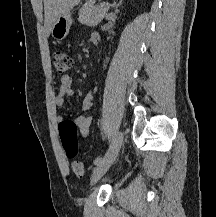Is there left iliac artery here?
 <instances>
[{
    "mask_svg": "<svg viewBox=\"0 0 216 217\" xmlns=\"http://www.w3.org/2000/svg\"><path fill=\"white\" fill-rule=\"evenodd\" d=\"M104 157H97L94 160V165H99L103 161Z\"/></svg>",
    "mask_w": 216,
    "mask_h": 217,
    "instance_id": "1",
    "label": "left iliac artery"
}]
</instances>
